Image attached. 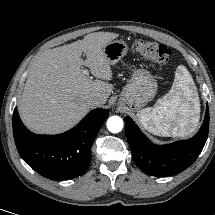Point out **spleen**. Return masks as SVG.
Masks as SVG:
<instances>
[{
	"mask_svg": "<svg viewBox=\"0 0 215 215\" xmlns=\"http://www.w3.org/2000/svg\"><path fill=\"white\" fill-rule=\"evenodd\" d=\"M200 105L193 78L182 65L175 72L169 93L152 109H143L137 117L150 133L164 137L190 136L199 122Z\"/></svg>",
	"mask_w": 215,
	"mask_h": 215,
	"instance_id": "obj_1",
	"label": "spleen"
}]
</instances>
